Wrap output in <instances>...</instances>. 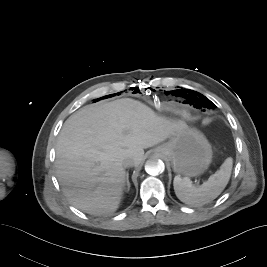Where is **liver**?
<instances>
[{
    "label": "liver",
    "instance_id": "1",
    "mask_svg": "<svg viewBox=\"0 0 267 267\" xmlns=\"http://www.w3.org/2000/svg\"><path fill=\"white\" fill-rule=\"evenodd\" d=\"M187 127L130 98L84 106L65 121L57 140L55 167L65 196L89 214L115 212L126 181L123 161L140 165L144 149Z\"/></svg>",
    "mask_w": 267,
    "mask_h": 267
}]
</instances>
